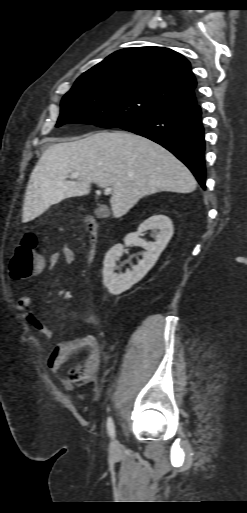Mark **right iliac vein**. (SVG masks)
<instances>
[{"label": "right iliac vein", "mask_w": 247, "mask_h": 513, "mask_svg": "<svg viewBox=\"0 0 247 513\" xmlns=\"http://www.w3.org/2000/svg\"><path fill=\"white\" fill-rule=\"evenodd\" d=\"M120 452V444L117 439L113 438L110 442V454L115 457Z\"/></svg>", "instance_id": "obj_1"}]
</instances>
